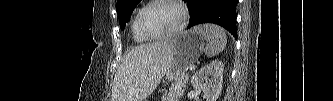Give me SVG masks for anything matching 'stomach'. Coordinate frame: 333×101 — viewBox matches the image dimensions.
<instances>
[{"label":"stomach","instance_id":"stomach-1","mask_svg":"<svg viewBox=\"0 0 333 101\" xmlns=\"http://www.w3.org/2000/svg\"><path fill=\"white\" fill-rule=\"evenodd\" d=\"M203 36L194 31H185L171 40V57L166 71L168 81H177L189 66L195 63L204 52Z\"/></svg>","mask_w":333,"mask_h":101}]
</instances>
